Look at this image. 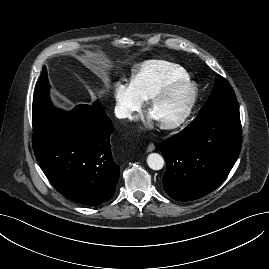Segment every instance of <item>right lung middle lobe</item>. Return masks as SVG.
Instances as JSON below:
<instances>
[{"instance_id":"dd1d6c3e","label":"right lung middle lobe","mask_w":269,"mask_h":269,"mask_svg":"<svg viewBox=\"0 0 269 269\" xmlns=\"http://www.w3.org/2000/svg\"><path fill=\"white\" fill-rule=\"evenodd\" d=\"M99 105V102H95L93 106L98 107ZM66 113L51 104L47 72L42 71L41 77L35 87L32 105L33 132H39L46 125Z\"/></svg>"}]
</instances>
